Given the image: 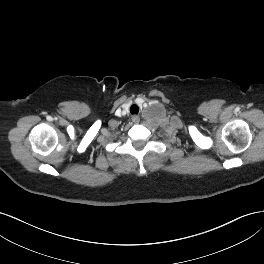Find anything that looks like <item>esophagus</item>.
<instances>
[{"instance_id":"esophagus-1","label":"esophagus","mask_w":264,"mask_h":264,"mask_svg":"<svg viewBox=\"0 0 264 264\" xmlns=\"http://www.w3.org/2000/svg\"><path fill=\"white\" fill-rule=\"evenodd\" d=\"M132 121H133V123L138 124L140 121V118L137 115H134V116H132Z\"/></svg>"}]
</instances>
